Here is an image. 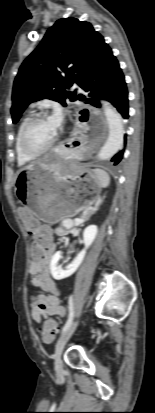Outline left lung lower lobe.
Wrapping results in <instances>:
<instances>
[{
	"mask_svg": "<svg viewBox=\"0 0 155 413\" xmlns=\"http://www.w3.org/2000/svg\"><path fill=\"white\" fill-rule=\"evenodd\" d=\"M80 87L88 92L86 103L100 107L98 98L103 97L117 108L124 119L128 118V91L124 75L108 45L105 46L95 64L84 76ZM123 154L124 149L113 156L111 161L114 162V165L122 160Z\"/></svg>",
	"mask_w": 155,
	"mask_h": 413,
	"instance_id": "1",
	"label": "left lung lower lobe"
}]
</instances>
